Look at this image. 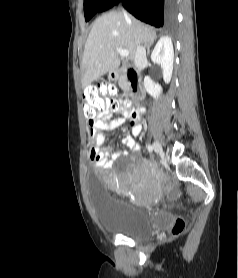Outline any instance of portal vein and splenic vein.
Here are the masks:
<instances>
[{
	"label": "portal vein and splenic vein",
	"mask_w": 238,
	"mask_h": 278,
	"mask_svg": "<svg viewBox=\"0 0 238 278\" xmlns=\"http://www.w3.org/2000/svg\"><path fill=\"white\" fill-rule=\"evenodd\" d=\"M116 51L119 53V55L123 58L128 57L129 56V52L126 49H122V48H116Z\"/></svg>",
	"instance_id": "18ae733b"
}]
</instances>
